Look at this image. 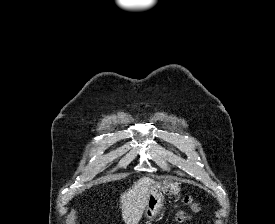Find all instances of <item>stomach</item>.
Listing matches in <instances>:
<instances>
[{
	"label": "stomach",
	"mask_w": 275,
	"mask_h": 224,
	"mask_svg": "<svg viewBox=\"0 0 275 224\" xmlns=\"http://www.w3.org/2000/svg\"><path fill=\"white\" fill-rule=\"evenodd\" d=\"M179 191V184L170 179L163 180L162 182H155L151 187L148 203L145 208L146 219L152 221L161 211L164 202V194H178Z\"/></svg>",
	"instance_id": "0dacf381"
}]
</instances>
